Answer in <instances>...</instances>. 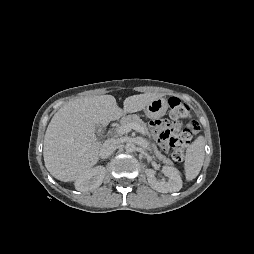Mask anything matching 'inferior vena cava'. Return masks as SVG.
Instances as JSON below:
<instances>
[{"mask_svg":"<svg viewBox=\"0 0 254 254\" xmlns=\"http://www.w3.org/2000/svg\"><path fill=\"white\" fill-rule=\"evenodd\" d=\"M118 142L115 139H108L106 140L103 145L102 148L100 150V154L102 157L106 158L109 155H111L117 148Z\"/></svg>","mask_w":254,"mask_h":254,"instance_id":"inferior-vena-cava-1","label":"inferior vena cava"}]
</instances>
